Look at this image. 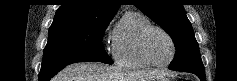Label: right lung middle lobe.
I'll list each match as a JSON object with an SVG mask.
<instances>
[{
  "label": "right lung middle lobe",
  "instance_id": "right-lung-middle-lobe-1",
  "mask_svg": "<svg viewBox=\"0 0 237 81\" xmlns=\"http://www.w3.org/2000/svg\"><path fill=\"white\" fill-rule=\"evenodd\" d=\"M110 21L79 17L54 19L43 52V62L88 59L112 64L101 41Z\"/></svg>",
  "mask_w": 237,
  "mask_h": 81
}]
</instances>
